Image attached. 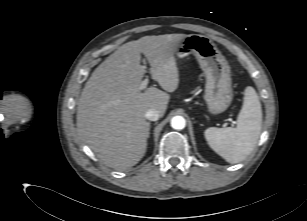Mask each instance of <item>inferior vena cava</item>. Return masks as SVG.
Here are the masks:
<instances>
[{
	"label": "inferior vena cava",
	"instance_id": "602c4592",
	"mask_svg": "<svg viewBox=\"0 0 307 221\" xmlns=\"http://www.w3.org/2000/svg\"><path fill=\"white\" fill-rule=\"evenodd\" d=\"M160 117L161 115L156 109H149L145 113V118L151 121H157Z\"/></svg>",
	"mask_w": 307,
	"mask_h": 221
}]
</instances>
